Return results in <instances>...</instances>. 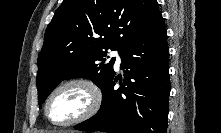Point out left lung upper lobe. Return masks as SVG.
Listing matches in <instances>:
<instances>
[{"mask_svg": "<svg viewBox=\"0 0 221 133\" xmlns=\"http://www.w3.org/2000/svg\"><path fill=\"white\" fill-rule=\"evenodd\" d=\"M161 13L156 0H64L48 25L38 56V104L66 78H89L103 90L120 50Z\"/></svg>", "mask_w": 221, "mask_h": 133, "instance_id": "1", "label": "left lung upper lobe"}]
</instances>
